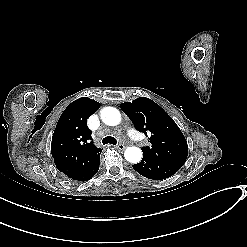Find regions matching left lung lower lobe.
Instances as JSON below:
<instances>
[{"instance_id":"left-lung-lower-lobe-1","label":"left lung lower lobe","mask_w":247,"mask_h":247,"mask_svg":"<svg viewBox=\"0 0 247 247\" xmlns=\"http://www.w3.org/2000/svg\"><path fill=\"white\" fill-rule=\"evenodd\" d=\"M132 167L142 176L154 180L166 179L181 168L164 159L149 154H143L141 162L134 164Z\"/></svg>"}]
</instances>
